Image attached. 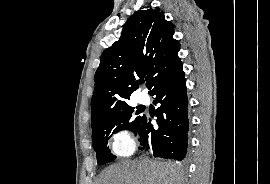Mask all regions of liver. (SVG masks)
Masks as SVG:
<instances>
[{
	"label": "liver",
	"instance_id": "6515ba94",
	"mask_svg": "<svg viewBox=\"0 0 270 184\" xmlns=\"http://www.w3.org/2000/svg\"><path fill=\"white\" fill-rule=\"evenodd\" d=\"M98 184H183V172L170 162L125 161L105 169Z\"/></svg>",
	"mask_w": 270,
	"mask_h": 184
}]
</instances>
